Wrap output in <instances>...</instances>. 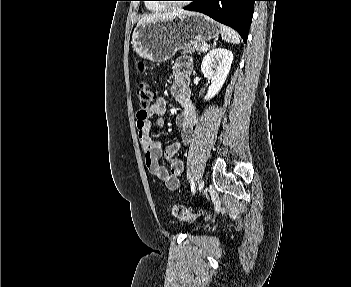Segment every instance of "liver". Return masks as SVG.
Returning <instances> with one entry per match:
<instances>
[{
	"mask_svg": "<svg viewBox=\"0 0 351 287\" xmlns=\"http://www.w3.org/2000/svg\"><path fill=\"white\" fill-rule=\"evenodd\" d=\"M191 12L190 11H185L183 9H177L172 12H166V13H157V14H150L147 16L142 17L139 22V24L146 23V22H152V21H158V20H167L171 19L174 17H181L184 15H189Z\"/></svg>",
	"mask_w": 351,
	"mask_h": 287,
	"instance_id": "liver-1",
	"label": "liver"
}]
</instances>
